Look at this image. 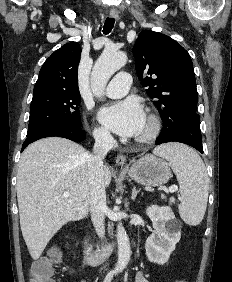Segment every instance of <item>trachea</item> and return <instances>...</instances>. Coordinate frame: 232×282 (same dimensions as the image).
<instances>
[{
    "instance_id": "obj_1",
    "label": "trachea",
    "mask_w": 232,
    "mask_h": 282,
    "mask_svg": "<svg viewBox=\"0 0 232 282\" xmlns=\"http://www.w3.org/2000/svg\"><path fill=\"white\" fill-rule=\"evenodd\" d=\"M114 23H115L114 18H107L103 26V33L109 34L114 27Z\"/></svg>"
}]
</instances>
